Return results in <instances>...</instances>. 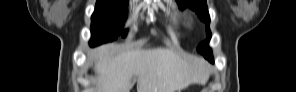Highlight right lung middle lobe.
<instances>
[{
	"mask_svg": "<svg viewBox=\"0 0 296 92\" xmlns=\"http://www.w3.org/2000/svg\"><path fill=\"white\" fill-rule=\"evenodd\" d=\"M126 0H97L91 17L90 45L112 41L118 35L126 36L124 23L127 14Z\"/></svg>",
	"mask_w": 296,
	"mask_h": 92,
	"instance_id": "obj_1",
	"label": "right lung middle lobe"
}]
</instances>
